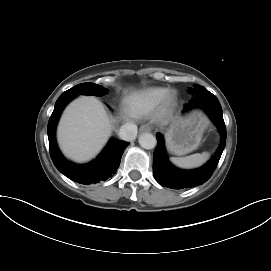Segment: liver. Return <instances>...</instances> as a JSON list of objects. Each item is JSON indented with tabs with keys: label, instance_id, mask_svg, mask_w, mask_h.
<instances>
[{
	"label": "liver",
	"instance_id": "1",
	"mask_svg": "<svg viewBox=\"0 0 271 271\" xmlns=\"http://www.w3.org/2000/svg\"><path fill=\"white\" fill-rule=\"evenodd\" d=\"M113 119L93 96H81L65 109L57 130L62 152L82 163L94 158L111 135Z\"/></svg>",
	"mask_w": 271,
	"mask_h": 271
}]
</instances>
